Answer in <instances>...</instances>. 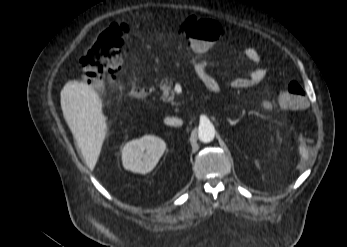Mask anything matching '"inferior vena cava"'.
Instances as JSON below:
<instances>
[{"instance_id":"obj_1","label":"inferior vena cava","mask_w":347,"mask_h":247,"mask_svg":"<svg viewBox=\"0 0 347 247\" xmlns=\"http://www.w3.org/2000/svg\"><path fill=\"white\" fill-rule=\"evenodd\" d=\"M166 123L169 125H182V120L178 118H166Z\"/></svg>"}]
</instances>
